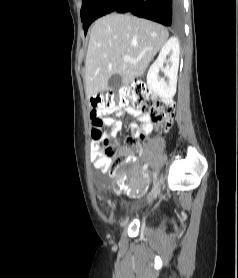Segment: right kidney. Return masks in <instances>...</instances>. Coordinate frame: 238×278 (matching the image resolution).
I'll return each mask as SVG.
<instances>
[{
  "label": "right kidney",
  "mask_w": 238,
  "mask_h": 278,
  "mask_svg": "<svg viewBox=\"0 0 238 278\" xmlns=\"http://www.w3.org/2000/svg\"><path fill=\"white\" fill-rule=\"evenodd\" d=\"M180 46L177 38H170L162 47L157 60L150 67L147 74L148 88L163 99H171L176 93L177 74L179 67ZM167 55H170V65L163 67ZM163 69L168 81L159 78V71Z\"/></svg>",
  "instance_id": "1"
}]
</instances>
